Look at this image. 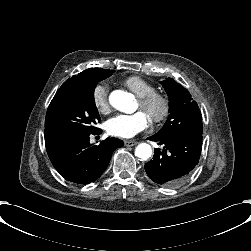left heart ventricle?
Instances as JSON below:
<instances>
[{"label":"left heart ventricle","mask_w":251,"mask_h":251,"mask_svg":"<svg viewBox=\"0 0 251 251\" xmlns=\"http://www.w3.org/2000/svg\"><path fill=\"white\" fill-rule=\"evenodd\" d=\"M138 106H140V107H141L140 102H138ZM158 109H159V106H156V107H155V110H158Z\"/></svg>","instance_id":"b2bd125f"}]
</instances>
